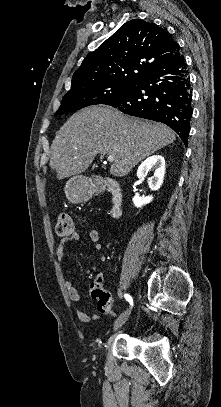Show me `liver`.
<instances>
[{
	"mask_svg": "<svg viewBox=\"0 0 221 407\" xmlns=\"http://www.w3.org/2000/svg\"><path fill=\"white\" fill-rule=\"evenodd\" d=\"M175 139L164 124L129 117L109 106H90L73 114L57 132L49 165L62 180L84 172L97 154L112 155L110 173L123 177Z\"/></svg>",
	"mask_w": 221,
	"mask_h": 407,
	"instance_id": "1",
	"label": "liver"
}]
</instances>
